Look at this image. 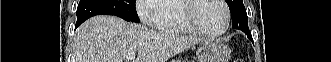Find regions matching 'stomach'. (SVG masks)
<instances>
[{
    "label": "stomach",
    "instance_id": "1",
    "mask_svg": "<svg viewBox=\"0 0 331 62\" xmlns=\"http://www.w3.org/2000/svg\"><path fill=\"white\" fill-rule=\"evenodd\" d=\"M196 54L198 62H228L230 49L219 41L208 40L199 45Z\"/></svg>",
    "mask_w": 331,
    "mask_h": 62
}]
</instances>
